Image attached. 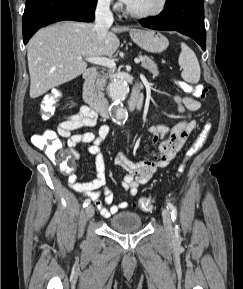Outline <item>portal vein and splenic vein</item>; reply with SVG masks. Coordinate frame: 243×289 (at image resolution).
<instances>
[{"instance_id": "18ae733b", "label": "portal vein and splenic vein", "mask_w": 243, "mask_h": 289, "mask_svg": "<svg viewBox=\"0 0 243 289\" xmlns=\"http://www.w3.org/2000/svg\"><path fill=\"white\" fill-rule=\"evenodd\" d=\"M79 61L82 60V57L77 58ZM88 62L95 64V65H102L105 67H108L110 69H115L116 63L114 60L106 58V57H90L86 59ZM135 63L139 64L141 62V59L136 58Z\"/></svg>"}]
</instances>
